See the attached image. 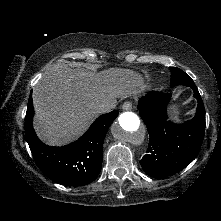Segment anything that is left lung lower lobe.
Returning <instances> with one entry per match:
<instances>
[{
  "label": "left lung lower lobe",
  "mask_w": 221,
  "mask_h": 221,
  "mask_svg": "<svg viewBox=\"0 0 221 221\" xmlns=\"http://www.w3.org/2000/svg\"><path fill=\"white\" fill-rule=\"evenodd\" d=\"M198 101L192 120L176 124L167 118L171 94L147 93L138 101V109L149 133L148 154L140 164L151 177L173 175L189 165L198 155L205 132V108L195 83H189Z\"/></svg>",
  "instance_id": "1"
}]
</instances>
